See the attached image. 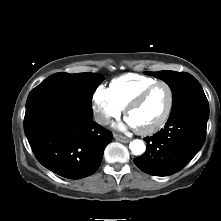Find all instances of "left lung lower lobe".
<instances>
[{
	"mask_svg": "<svg viewBox=\"0 0 221 221\" xmlns=\"http://www.w3.org/2000/svg\"><path fill=\"white\" fill-rule=\"evenodd\" d=\"M208 116L205 94L182 101L172 108L164 129L144 139L147 150L134 159V163L154 176H169L180 171L203 146Z\"/></svg>",
	"mask_w": 221,
	"mask_h": 221,
	"instance_id": "1",
	"label": "left lung lower lobe"
}]
</instances>
